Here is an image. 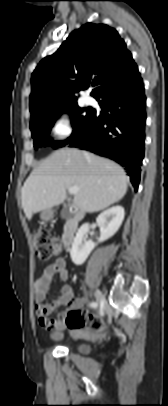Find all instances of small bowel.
Returning a JSON list of instances; mask_svg holds the SVG:
<instances>
[{"instance_id":"small-bowel-1","label":"small bowel","mask_w":168,"mask_h":406,"mask_svg":"<svg viewBox=\"0 0 168 406\" xmlns=\"http://www.w3.org/2000/svg\"><path fill=\"white\" fill-rule=\"evenodd\" d=\"M56 275H58L59 279L63 282H66L69 278L64 258H58L47 266L35 282L34 294L40 325L46 330L50 331L52 336L55 338H59L63 330L66 328H68L73 335H94L95 337L100 338V334L91 331L84 326L73 327L68 325L66 323V316L68 312H59L52 319H47L44 317V314L50 313L56 307L63 305L68 306L70 311H78V309L81 308L86 301L84 297H74L72 288L65 284L61 290V297L53 305L41 308L40 305L45 301L51 282Z\"/></svg>"}]
</instances>
